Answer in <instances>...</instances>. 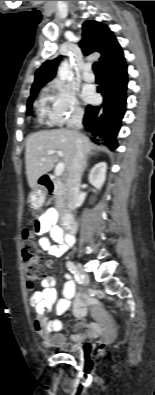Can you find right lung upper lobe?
Here are the masks:
<instances>
[{
	"label": "right lung upper lobe",
	"mask_w": 155,
	"mask_h": 395,
	"mask_svg": "<svg viewBox=\"0 0 155 395\" xmlns=\"http://www.w3.org/2000/svg\"><path fill=\"white\" fill-rule=\"evenodd\" d=\"M83 39L79 43L84 55L99 52V66L101 69L125 60L119 43L108 26L94 20L85 21L82 25ZM62 56L47 60L37 70L35 81L31 88V95L37 93L41 87L52 80Z\"/></svg>",
	"instance_id": "cb5924a9"
}]
</instances>
